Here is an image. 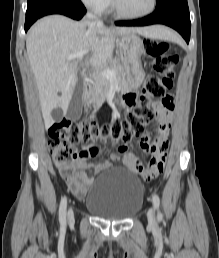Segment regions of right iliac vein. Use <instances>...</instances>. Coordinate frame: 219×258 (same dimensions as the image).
<instances>
[{"mask_svg": "<svg viewBox=\"0 0 219 258\" xmlns=\"http://www.w3.org/2000/svg\"><path fill=\"white\" fill-rule=\"evenodd\" d=\"M73 218H74L73 210H72V208H69L68 213H67L68 222H72Z\"/></svg>", "mask_w": 219, "mask_h": 258, "instance_id": "obj_1", "label": "right iliac vein"}]
</instances>
